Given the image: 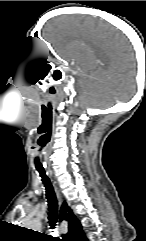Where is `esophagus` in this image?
Here are the masks:
<instances>
[{"label":"esophagus","mask_w":146,"mask_h":241,"mask_svg":"<svg viewBox=\"0 0 146 241\" xmlns=\"http://www.w3.org/2000/svg\"><path fill=\"white\" fill-rule=\"evenodd\" d=\"M55 190H56L57 197H58V199L60 201L61 200V196H60L59 190L56 187H55Z\"/></svg>","instance_id":"1"}]
</instances>
